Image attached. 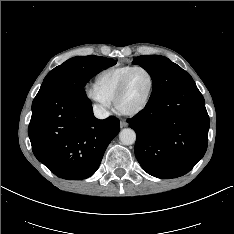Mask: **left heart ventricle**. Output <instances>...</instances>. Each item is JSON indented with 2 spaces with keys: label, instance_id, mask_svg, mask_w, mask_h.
<instances>
[{
  "label": "left heart ventricle",
  "instance_id": "b2bd125f",
  "mask_svg": "<svg viewBox=\"0 0 234 234\" xmlns=\"http://www.w3.org/2000/svg\"><path fill=\"white\" fill-rule=\"evenodd\" d=\"M150 87V78L147 72L138 70L133 73L128 87L119 101L122 110H132L138 107L146 98Z\"/></svg>",
  "mask_w": 234,
  "mask_h": 234
}]
</instances>
